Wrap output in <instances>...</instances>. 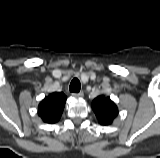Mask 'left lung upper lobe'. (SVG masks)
Wrapping results in <instances>:
<instances>
[{
    "instance_id": "obj_1",
    "label": "left lung upper lobe",
    "mask_w": 160,
    "mask_h": 158,
    "mask_svg": "<svg viewBox=\"0 0 160 158\" xmlns=\"http://www.w3.org/2000/svg\"><path fill=\"white\" fill-rule=\"evenodd\" d=\"M92 109L101 125H110L118 115V108L115 103L104 95L93 100Z\"/></svg>"
}]
</instances>
